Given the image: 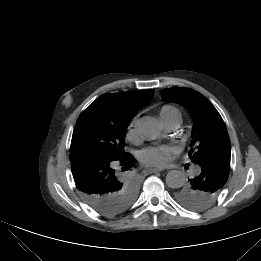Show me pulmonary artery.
I'll return each mask as SVG.
<instances>
[{"mask_svg":"<svg viewBox=\"0 0 261 261\" xmlns=\"http://www.w3.org/2000/svg\"><path fill=\"white\" fill-rule=\"evenodd\" d=\"M165 126L169 129V130H176L179 128V126L181 125V115L179 114H174L172 116H170L169 118H166L163 120ZM196 172L199 171V168L196 167L194 169Z\"/></svg>","mask_w":261,"mask_h":261,"instance_id":"1","label":"pulmonary artery"}]
</instances>
